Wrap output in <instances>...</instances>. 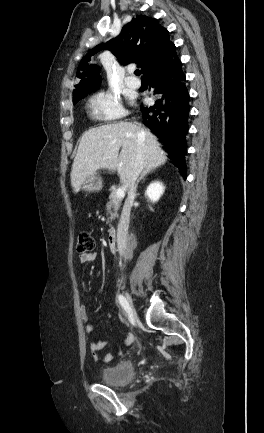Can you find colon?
I'll list each match as a JSON object with an SVG mask.
<instances>
[{
    "label": "colon",
    "mask_w": 264,
    "mask_h": 433,
    "mask_svg": "<svg viewBox=\"0 0 264 433\" xmlns=\"http://www.w3.org/2000/svg\"><path fill=\"white\" fill-rule=\"evenodd\" d=\"M95 248V240L89 232L83 231L78 235L76 251L83 255L90 253Z\"/></svg>",
    "instance_id": "obj_1"
}]
</instances>
